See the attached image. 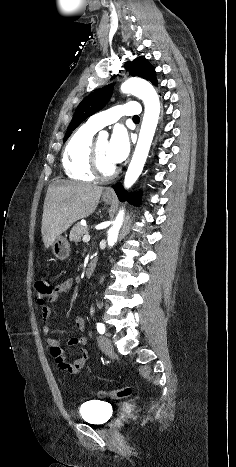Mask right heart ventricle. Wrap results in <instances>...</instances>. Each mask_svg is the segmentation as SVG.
Segmentation results:
<instances>
[{
	"mask_svg": "<svg viewBox=\"0 0 236 467\" xmlns=\"http://www.w3.org/2000/svg\"><path fill=\"white\" fill-rule=\"evenodd\" d=\"M96 131L85 124L67 142L62 155V166L70 179L84 182L95 179L90 170V150Z\"/></svg>",
	"mask_w": 236,
	"mask_h": 467,
	"instance_id": "right-heart-ventricle-1",
	"label": "right heart ventricle"
}]
</instances>
